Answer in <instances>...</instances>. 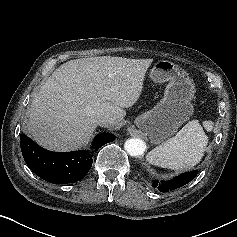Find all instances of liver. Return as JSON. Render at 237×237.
<instances>
[{
    "label": "liver",
    "mask_w": 237,
    "mask_h": 237,
    "mask_svg": "<svg viewBox=\"0 0 237 237\" xmlns=\"http://www.w3.org/2000/svg\"><path fill=\"white\" fill-rule=\"evenodd\" d=\"M153 59L91 57L59 66L40 88L28 111L26 132L49 150L84 146L96 127V117L109 115L113 127L133 106Z\"/></svg>",
    "instance_id": "6515ba94"
}]
</instances>
